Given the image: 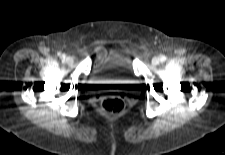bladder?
<instances>
[{
	"mask_svg": "<svg viewBox=\"0 0 225 155\" xmlns=\"http://www.w3.org/2000/svg\"><path fill=\"white\" fill-rule=\"evenodd\" d=\"M91 77L99 83L116 84L130 91L136 88L132 60L123 50H111L99 56Z\"/></svg>",
	"mask_w": 225,
	"mask_h": 155,
	"instance_id": "obj_1",
	"label": "bladder"
}]
</instances>
